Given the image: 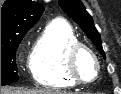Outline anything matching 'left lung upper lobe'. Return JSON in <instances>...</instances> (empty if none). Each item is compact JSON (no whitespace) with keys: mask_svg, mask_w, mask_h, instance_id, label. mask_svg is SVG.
<instances>
[{"mask_svg":"<svg viewBox=\"0 0 121 94\" xmlns=\"http://www.w3.org/2000/svg\"><path fill=\"white\" fill-rule=\"evenodd\" d=\"M59 5L64 12L70 15L72 19L80 25L88 38L92 40L105 58L100 34L94 26L91 15L86 11L82 2L80 0H59Z\"/></svg>","mask_w":121,"mask_h":94,"instance_id":"5c2ea615","label":"left lung upper lobe"}]
</instances>
